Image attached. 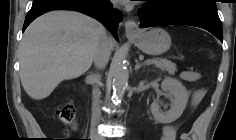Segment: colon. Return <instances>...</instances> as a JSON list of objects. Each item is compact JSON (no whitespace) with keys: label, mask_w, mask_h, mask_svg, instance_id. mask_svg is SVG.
I'll return each instance as SVG.
<instances>
[{"label":"colon","mask_w":236,"mask_h":140,"mask_svg":"<svg viewBox=\"0 0 236 140\" xmlns=\"http://www.w3.org/2000/svg\"><path fill=\"white\" fill-rule=\"evenodd\" d=\"M58 117L67 125H73L75 122L74 107L70 102H66L59 106L56 110Z\"/></svg>","instance_id":"5ec220e1"}]
</instances>
